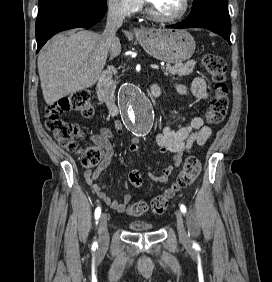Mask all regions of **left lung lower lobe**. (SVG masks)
<instances>
[{
	"label": "left lung lower lobe",
	"mask_w": 272,
	"mask_h": 282,
	"mask_svg": "<svg viewBox=\"0 0 272 282\" xmlns=\"http://www.w3.org/2000/svg\"><path fill=\"white\" fill-rule=\"evenodd\" d=\"M169 28H206L230 42L231 22L227 0H194L192 11L182 23Z\"/></svg>",
	"instance_id": "left-lung-lower-lobe-1"
}]
</instances>
